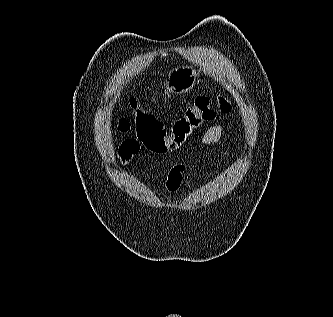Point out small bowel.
I'll return each instance as SVG.
<instances>
[{"mask_svg":"<svg viewBox=\"0 0 333 317\" xmlns=\"http://www.w3.org/2000/svg\"><path fill=\"white\" fill-rule=\"evenodd\" d=\"M224 126L221 123L211 126L200 138V144L204 146L213 145L222 138ZM140 151L138 139L125 140L118 149V159L121 164H127L131 158ZM191 172L184 163H175L164 167L159 171V180L164 178V187L169 194H176L182 187L191 189Z\"/></svg>","mask_w":333,"mask_h":317,"instance_id":"obj_1","label":"small bowel"}]
</instances>
